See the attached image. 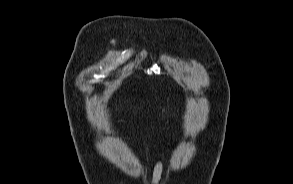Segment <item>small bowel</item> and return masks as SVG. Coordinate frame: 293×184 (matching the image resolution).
Returning <instances> with one entry per match:
<instances>
[{
  "label": "small bowel",
  "instance_id": "obj_1",
  "mask_svg": "<svg viewBox=\"0 0 293 184\" xmlns=\"http://www.w3.org/2000/svg\"><path fill=\"white\" fill-rule=\"evenodd\" d=\"M163 161L159 160L157 161L152 169V179H151V183L152 184H158L161 176H162V172H163Z\"/></svg>",
  "mask_w": 293,
  "mask_h": 184
}]
</instances>
